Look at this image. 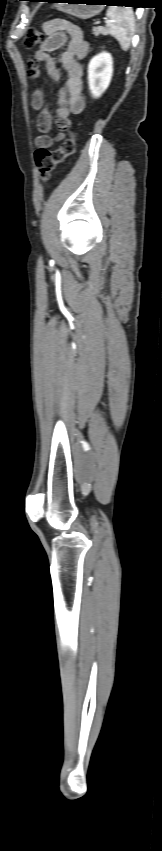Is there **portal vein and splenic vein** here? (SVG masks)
I'll use <instances>...</instances> for the list:
<instances>
[{"label":"portal vein and splenic vein","mask_w":162,"mask_h":851,"mask_svg":"<svg viewBox=\"0 0 162 851\" xmlns=\"http://www.w3.org/2000/svg\"><path fill=\"white\" fill-rule=\"evenodd\" d=\"M105 22H106V23H108V20H106ZM99 23H100V22L98 21V22H97V24H99Z\"/></svg>","instance_id":"obj_1"}]
</instances>
